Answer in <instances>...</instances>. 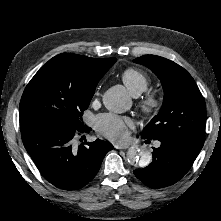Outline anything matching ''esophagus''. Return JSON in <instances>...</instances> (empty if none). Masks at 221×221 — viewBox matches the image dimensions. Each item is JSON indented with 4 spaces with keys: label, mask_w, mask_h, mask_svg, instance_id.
Segmentation results:
<instances>
[{
    "label": "esophagus",
    "mask_w": 221,
    "mask_h": 221,
    "mask_svg": "<svg viewBox=\"0 0 221 221\" xmlns=\"http://www.w3.org/2000/svg\"><path fill=\"white\" fill-rule=\"evenodd\" d=\"M116 149H128L129 145H115L114 146Z\"/></svg>",
    "instance_id": "1"
}]
</instances>
